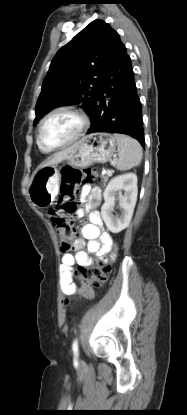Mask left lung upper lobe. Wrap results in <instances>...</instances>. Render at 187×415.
Returning a JSON list of instances; mask_svg holds the SVG:
<instances>
[{
	"label": "left lung upper lobe",
	"mask_w": 187,
	"mask_h": 415,
	"mask_svg": "<svg viewBox=\"0 0 187 415\" xmlns=\"http://www.w3.org/2000/svg\"><path fill=\"white\" fill-rule=\"evenodd\" d=\"M118 36L109 24L95 20L57 52L42 84L34 125L62 105L80 104L92 117L102 72Z\"/></svg>",
	"instance_id": "left-lung-upper-lobe-1"
}]
</instances>
